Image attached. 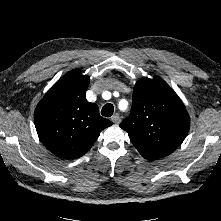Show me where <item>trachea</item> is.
I'll use <instances>...</instances> for the list:
<instances>
[{
	"instance_id": "1",
	"label": "trachea",
	"mask_w": 221,
	"mask_h": 221,
	"mask_svg": "<svg viewBox=\"0 0 221 221\" xmlns=\"http://www.w3.org/2000/svg\"><path fill=\"white\" fill-rule=\"evenodd\" d=\"M113 112H114V106L110 103L104 105L101 110L102 116H105V117L112 116Z\"/></svg>"
}]
</instances>
